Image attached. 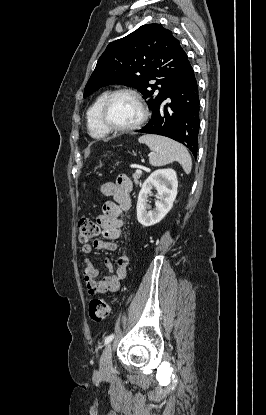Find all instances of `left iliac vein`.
<instances>
[{"label": "left iliac vein", "instance_id": "1", "mask_svg": "<svg viewBox=\"0 0 266 415\" xmlns=\"http://www.w3.org/2000/svg\"><path fill=\"white\" fill-rule=\"evenodd\" d=\"M112 366V349L111 344H108L100 358V372L102 375H108Z\"/></svg>", "mask_w": 266, "mask_h": 415}]
</instances>
